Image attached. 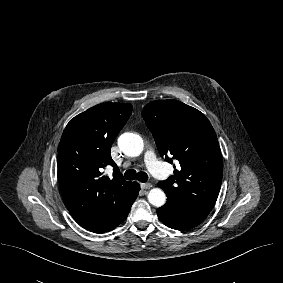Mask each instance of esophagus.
<instances>
[{"label":"esophagus","mask_w":283,"mask_h":283,"mask_svg":"<svg viewBox=\"0 0 283 283\" xmlns=\"http://www.w3.org/2000/svg\"><path fill=\"white\" fill-rule=\"evenodd\" d=\"M151 187H152V184H150V183H142L141 184V188L143 190L150 189Z\"/></svg>","instance_id":"34e87169"}]
</instances>
